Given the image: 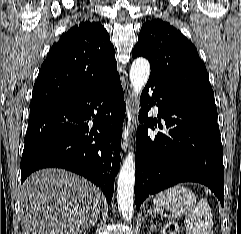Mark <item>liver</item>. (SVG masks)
<instances>
[{"label": "liver", "mask_w": 241, "mask_h": 234, "mask_svg": "<svg viewBox=\"0 0 241 234\" xmlns=\"http://www.w3.org/2000/svg\"><path fill=\"white\" fill-rule=\"evenodd\" d=\"M101 191L63 169L30 175L20 191L22 234H81L100 211Z\"/></svg>", "instance_id": "obj_1"}]
</instances>
